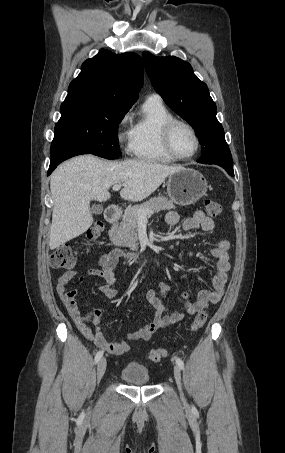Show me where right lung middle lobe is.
I'll list each match as a JSON object with an SVG mask.
<instances>
[{"label": "right lung middle lobe", "instance_id": "dd1d6c3e", "mask_svg": "<svg viewBox=\"0 0 285 453\" xmlns=\"http://www.w3.org/2000/svg\"><path fill=\"white\" fill-rule=\"evenodd\" d=\"M129 109L101 103H62L55 136L78 145L85 154L121 156L118 124Z\"/></svg>", "mask_w": 285, "mask_h": 453}]
</instances>
